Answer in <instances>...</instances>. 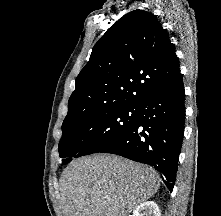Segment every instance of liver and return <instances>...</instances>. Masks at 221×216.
I'll list each match as a JSON object with an SVG mask.
<instances>
[{"label": "liver", "instance_id": "liver-1", "mask_svg": "<svg viewBox=\"0 0 221 216\" xmlns=\"http://www.w3.org/2000/svg\"><path fill=\"white\" fill-rule=\"evenodd\" d=\"M160 177L147 165L115 155L72 161L60 178L64 216H128L159 189Z\"/></svg>", "mask_w": 221, "mask_h": 216}]
</instances>
